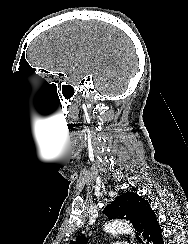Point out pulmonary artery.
Listing matches in <instances>:
<instances>
[{
  "mask_svg": "<svg viewBox=\"0 0 188 244\" xmlns=\"http://www.w3.org/2000/svg\"><path fill=\"white\" fill-rule=\"evenodd\" d=\"M113 244H129V243H127V242H115Z\"/></svg>",
  "mask_w": 188,
  "mask_h": 244,
  "instance_id": "obj_1",
  "label": "pulmonary artery"
}]
</instances>
